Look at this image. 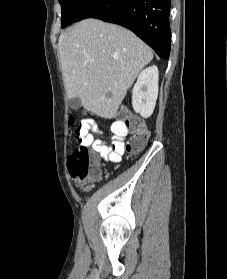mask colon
Masks as SVG:
<instances>
[{"label":"colon","instance_id":"colon-1","mask_svg":"<svg viewBox=\"0 0 227 279\" xmlns=\"http://www.w3.org/2000/svg\"><path fill=\"white\" fill-rule=\"evenodd\" d=\"M123 118L121 124L127 131H131L132 137L126 143V150L129 152L137 153L141 151L149 138L148 130L142 125L137 117L129 116L126 110H122ZM86 121H81L79 125L76 124V117L70 116V127H75L74 134L76 135L78 147L69 155L67 164L72 178L80 180V186L87 188L92 184L99 175V158L96 152L90 149L92 137L87 129H82Z\"/></svg>","mask_w":227,"mask_h":279}]
</instances>
